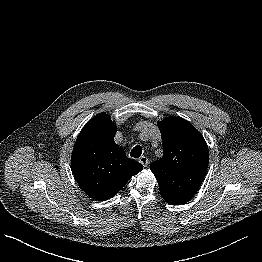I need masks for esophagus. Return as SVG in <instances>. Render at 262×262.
Instances as JSON below:
<instances>
[{
    "label": "esophagus",
    "mask_w": 262,
    "mask_h": 262,
    "mask_svg": "<svg viewBox=\"0 0 262 262\" xmlns=\"http://www.w3.org/2000/svg\"><path fill=\"white\" fill-rule=\"evenodd\" d=\"M139 162L144 166V167H146L147 165H148V158L147 157H145V156H141L140 158H139Z\"/></svg>",
    "instance_id": "1"
}]
</instances>
